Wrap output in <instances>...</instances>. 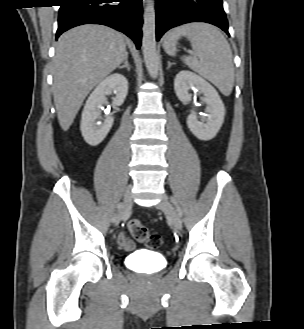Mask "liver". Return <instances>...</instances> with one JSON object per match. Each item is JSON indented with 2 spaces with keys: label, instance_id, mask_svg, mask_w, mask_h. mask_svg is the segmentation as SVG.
<instances>
[{
  "label": "liver",
  "instance_id": "1",
  "mask_svg": "<svg viewBox=\"0 0 304 329\" xmlns=\"http://www.w3.org/2000/svg\"><path fill=\"white\" fill-rule=\"evenodd\" d=\"M126 56L124 36L103 25H81L60 36L53 59V97L64 131L72 125L89 92Z\"/></svg>",
  "mask_w": 304,
  "mask_h": 329
}]
</instances>
